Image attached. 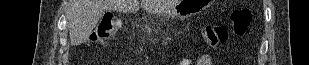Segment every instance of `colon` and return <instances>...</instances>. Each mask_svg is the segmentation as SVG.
Instances as JSON below:
<instances>
[{
    "instance_id": "obj_1",
    "label": "colon",
    "mask_w": 309,
    "mask_h": 65,
    "mask_svg": "<svg viewBox=\"0 0 309 65\" xmlns=\"http://www.w3.org/2000/svg\"><path fill=\"white\" fill-rule=\"evenodd\" d=\"M252 15L248 9L235 10L231 15L230 27L226 28L217 24H207L201 29L203 41L208 46L214 47L225 42L230 36H242L250 26ZM121 19L114 15L105 16L99 26L96 39L101 44L114 41L117 31L122 27Z\"/></svg>"
}]
</instances>
